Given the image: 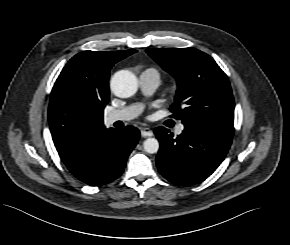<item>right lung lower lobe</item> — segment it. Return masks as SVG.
Masks as SVG:
<instances>
[{
    "instance_id": "1",
    "label": "right lung lower lobe",
    "mask_w": 290,
    "mask_h": 245,
    "mask_svg": "<svg viewBox=\"0 0 290 245\" xmlns=\"http://www.w3.org/2000/svg\"><path fill=\"white\" fill-rule=\"evenodd\" d=\"M140 137L133 126L105 129L74 158L63 161L68 170L90 186H101L118 178Z\"/></svg>"
}]
</instances>
